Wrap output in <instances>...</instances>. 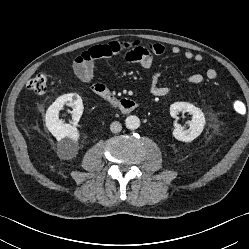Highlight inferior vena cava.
<instances>
[{
  "label": "inferior vena cava",
  "instance_id": "602c4592",
  "mask_svg": "<svg viewBox=\"0 0 249 249\" xmlns=\"http://www.w3.org/2000/svg\"><path fill=\"white\" fill-rule=\"evenodd\" d=\"M110 130H111V132H113V133H118V132H120V131L122 130V125H121V123L118 122V121L112 122L111 125H110Z\"/></svg>",
  "mask_w": 249,
  "mask_h": 249
}]
</instances>
